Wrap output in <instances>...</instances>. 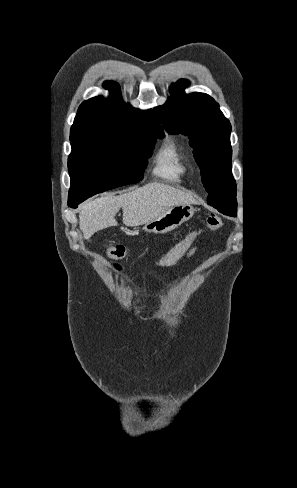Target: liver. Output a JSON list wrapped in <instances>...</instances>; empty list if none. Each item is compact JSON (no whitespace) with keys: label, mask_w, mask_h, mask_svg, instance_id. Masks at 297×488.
Instances as JSON below:
<instances>
[{"label":"liver","mask_w":297,"mask_h":488,"mask_svg":"<svg viewBox=\"0 0 297 488\" xmlns=\"http://www.w3.org/2000/svg\"><path fill=\"white\" fill-rule=\"evenodd\" d=\"M195 203L194 198L172 186L153 182L132 192L113 196L108 194L84 203L79 213V226L85 239L94 233L117 226L115 215L123 210L126 226H139L153 220L167 209L179 204Z\"/></svg>","instance_id":"liver-1"}]
</instances>
